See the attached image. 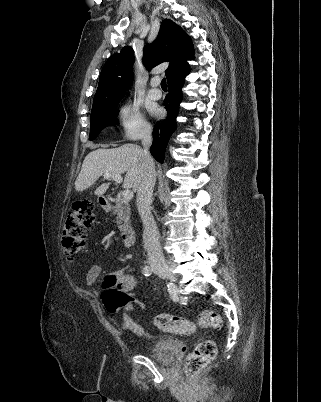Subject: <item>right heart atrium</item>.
<instances>
[{"instance_id": "right-heart-atrium-1", "label": "right heart atrium", "mask_w": 321, "mask_h": 402, "mask_svg": "<svg viewBox=\"0 0 321 402\" xmlns=\"http://www.w3.org/2000/svg\"><path fill=\"white\" fill-rule=\"evenodd\" d=\"M117 121L123 136L128 140L143 139L150 134L149 123L133 104L127 103L118 110Z\"/></svg>"}]
</instances>
